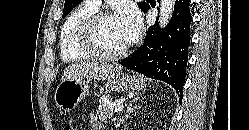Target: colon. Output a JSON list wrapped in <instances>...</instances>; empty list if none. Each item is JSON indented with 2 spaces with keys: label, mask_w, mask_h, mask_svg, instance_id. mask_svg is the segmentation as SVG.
I'll return each mask as SVG.
<instances>
[{
  "label": "colon",
  "mask_w": 249,
  "mask_h": 130,
  "mask_svg": "<svg viewBox=\"0 0 249 130\" xmlns=\"http://www.w3.org/2000/svg\"><path fill=\"white\" fill-rule=\"evenodd\" d=\"M62 130H78V129L71 124H66L63 126Z\"/></svg>",
  "instance_id": "1"
}]
</instances>
